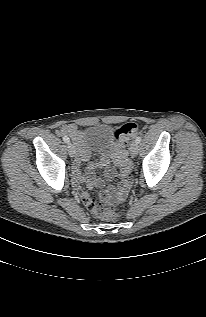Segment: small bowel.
<instances>
[{
    "label": "small bowel",
    "instance_id": "1",
    "mask_svg": "<svg viewBox=\"0 0 206 317\" xmlns=\"http://www.w3.org/2000/svg\"><path fill=\"white\" fill-rule=\"evenodd\" d=\"M60 133L68 135L78 145L77 156L73 164L74 184L77 193L79 194L83 203L89 209H91L94 200L90 197L89 193L84 189L83 186H85L86 188H92L93 186H101L103 184L102 180L96 177L94 174L97 165L94 163H88L85 167V173L82 172V164L89 159L90 155L82 143V135L76 125H64L61 128ZM100 165L105 168V172L108 176L112 177L115 175V170L107 159H102ZM122 176L124 177V179L122 180L118 190L115 192L113 188H109L105 192L106 197L114 196L118 201H121L125 198L130 187V179L129 176Z\"/></svg>",
    "mask_w": 206,
    "mask_h": 317
}]
</instances>
